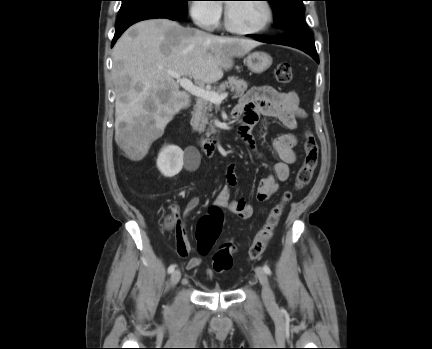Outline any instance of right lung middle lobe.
Instances as JSON below:
<instances>
[{
    "label": "right lung middle lobe",
    "instance_id": "1",
    "mask_svg": "<svg viewBox=\"0 0 432 349\" xmlns=\"http://www.w3.org/2000/svg\"><path fill=\"white\" fill-rule=\"evenodd\" d=\"M122 5L118 18L141 11H160L162 13L183 19L188 14V0H121Z\"/></svg>",
    "mask_w": 432,
    "mask_h": 349
}]
</instances>
